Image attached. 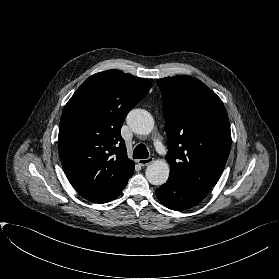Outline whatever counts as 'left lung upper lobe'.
<instances>
[{
  "mask_svg": "<svg viewBox=\"0 0 279 279\" xmlns=\"http://www.w3.org/2000/svg\"><path fill=\"white\" fill-rule=\"evenodd\" d=\"M170 176L208 192L219 180L231 147L221 99L194 77L159 79Z\"/></svg>",
  "mask_w": 279,
  "mask_h": 279,
  "instance_id": "left-lung-upper-lobe-1",
  "label": "left lung upper lobe"
}]
</instances>
